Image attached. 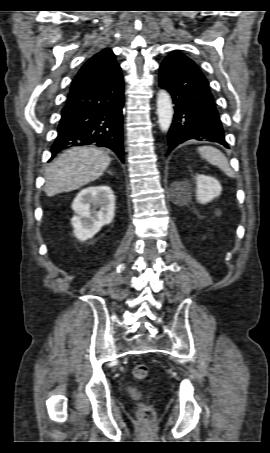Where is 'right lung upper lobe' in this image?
Returning <instances> with one entry per match:
<instances>
[{
  "mask_svg": "<svg viewBox=\"0 0 270 453\" xmlns=\"http://www.w3.org/2000/svg\"><path fill=\"white\" fill-rule=\"evenodd\" d=\"M120 69L113 52L106 48L90 58L77 73L70 91L92 87L102 83Z\"/></svg>",
  "mask_w": 270,
  "mask_h": 453,
  "instance_id": "right-lung-upper-lobe-1",
  "label": "right lung upper lobe"
}]
</instances>
